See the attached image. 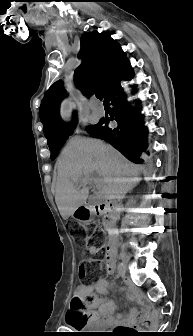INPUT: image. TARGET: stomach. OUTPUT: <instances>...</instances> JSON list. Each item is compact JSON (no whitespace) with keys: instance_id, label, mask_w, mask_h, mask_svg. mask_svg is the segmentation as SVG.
<instances>
[{"instance_id":"0dacf381","label":"stomach","mask_w":193,"mask_h":336,"mask_svg":"<svg viewBox=\"0 0 193 336\" xmlns=\"http://www.w3.org/2000/svg\"><path fill=\"white\" fill-rule=\"evenodd\" d=\"M72 217L78 222L87 224L93 220L94 213L89 206H80L72 214Z\"/></svg>"}]
</instances>
